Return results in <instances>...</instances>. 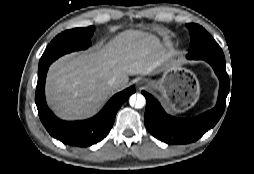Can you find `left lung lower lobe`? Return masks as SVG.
Segmentation results:
<instances>
[{"label": "left lung lower lobe", "mask_w": 254, "mask_h": 174, "mask_svg": "<svg viewBox=\"0 0 254 174\" xmlns=\"http://www.w3.org/2000/svg\"><path fill=\"white\" fill-rule=\"evenodd\" d=\"M203 60L213 67L220 80L217 104L204 114L189 119L169 116L153 96L144 91L142 92L146 98L144 123L147 130L157 139L167 144L195 142L205 132L214 127L222 116L225 109V100L229 92V78L225 69V61L212 58Z\"/></svg>", "instance_id": "0a47b994"}]
</instances>
